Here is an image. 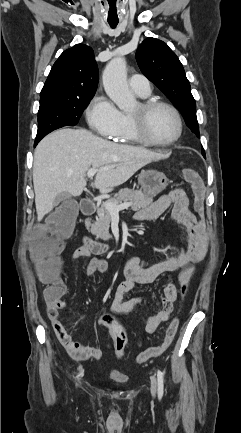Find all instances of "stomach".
Instances as JSON below:
<instances>
[{"label": "stomach", "mask_w": 241, "mask_h": 433, "mask_svg": "<svg viewBox=\"0 0 241 433\" xmlns=\"http://www.w3.org/2000/svg\"><path fill=\"white\" fill-rule=\"evenodd\" d=\"M138 183L147 196L155 197L167 187L168 179L162 172L146 170L140 173Z\"/></svg>", "instance_id": "obj_1"}]
</instances>
